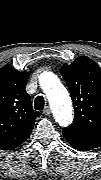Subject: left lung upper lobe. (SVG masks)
I'll return each instance as SVG.
<instances>
[{
  "label": "left lung upper lobe",
  "mask_w": 101,
  "mask_h": 180,
  "mask_svg": "<svg viewBox=\"0 0 101 180\" xmlns=\"http://www.w3.org/2000/svg\"><path fill=\"white\" fill-rule=\"evenodd\" d=\"M75 107L73 123L63 132L100 144L101 69L88 57L80 56L61 68Z\"/></svg>",
  "instance_id": "1"
}]
</instances>
